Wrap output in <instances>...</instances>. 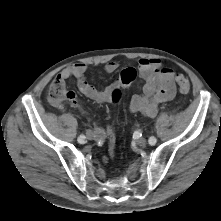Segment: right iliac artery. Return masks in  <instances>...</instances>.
<instances>
[{"label":"right iliac artery","mask_w":221,"mask_h":221,"mask_svg":"<svg viewBox=\"0 0 221 221\" xmlns=\"http://www.w3.org/2000/svg\"><path fill=\"white\" fill-rule=\"evenodd\" d=\"M85 136L84 135H80L79 137H78V142L79 143H81V144H83V143H85Z\"/></svg>","instance_id":"1"}]
</instances>
